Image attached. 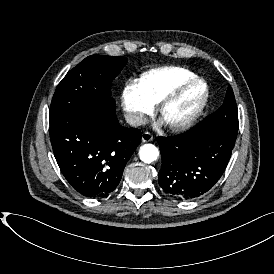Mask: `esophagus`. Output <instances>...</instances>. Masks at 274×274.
Instances as JSON below:
<instances>
[{
  "label": "esophagus",
  "instance_id": "obj_1",
  "mask_svg": "<svg viewBox=\"0 0 274 274\" xmlns=\"http://www.w3.org/2000/svg\"><path fill=\"white\" fill-rule=\"evenodd\" d=\"M141 139L142 142H150L153 139V135L150 132H143Z\"/></svg>",
  "mask_w": 274,
  "mask_h": 274
}]
</instances>
